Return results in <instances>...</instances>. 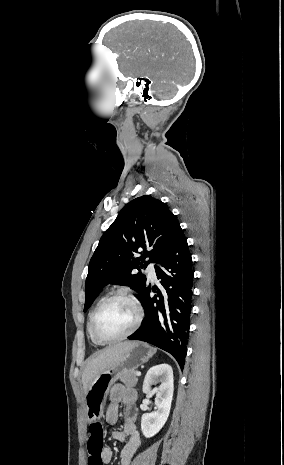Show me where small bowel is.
Wrapping results in <instances>:
<instances>
[{"label":"small bowel","instance_id":"c3829d8e","mask_svg":"<svg viewBox=\"0 0 284 465\" xmlns=\"http://www.w3.org/2000/svg\"><path fill=\"white\" fill-rule=\"evenodd\" d=\"M136 399V391L126 388L122 384H115L109 393V404L105 415L107 423L114 424L118 421L121 414V405H124L122 429L114 430L111 433L113 439L124 443L120 453L121 465H130L141 444L140 435L136 428L138 416L134 407ZM112 459L113 451L110 447H106L103 451V461L110 463Z\"/></svg>","mask_w":284,"mask_h":465}]
</instances>
